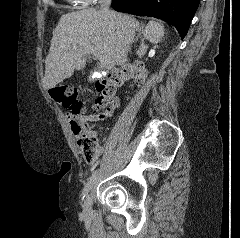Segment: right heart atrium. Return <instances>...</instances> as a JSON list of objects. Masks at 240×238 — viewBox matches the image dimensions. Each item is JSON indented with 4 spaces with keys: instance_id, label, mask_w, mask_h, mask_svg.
<instances>
[{
    "instance_id": "1",
    "label": "right heart atrium",
    "mask_w": 240,
    "mask_h": 238,
    "mask_svg": "<svg viewBox=\"0 0 240 238\" xmlns=\"http://www.w3.org/2000/svg\"><path fill=\"white\" fill-rule=\"evenodd\" d=\"M77 1L84 5H91L101 0H77Z\"/></svg>"
}]
</instances>
